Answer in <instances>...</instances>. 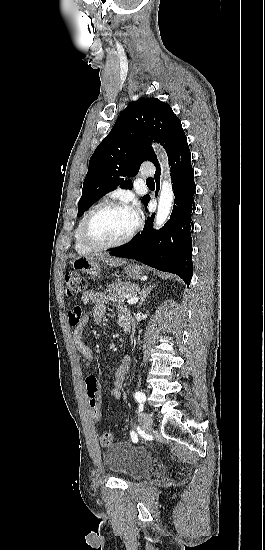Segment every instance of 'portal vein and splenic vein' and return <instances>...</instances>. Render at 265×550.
<instances>
[{
	"label": "portal vein and splenic vein",
	"instance_id": "portal-vein-and-splenic-vein-1",
	"mask_svg": "<svg viewBox=\"0 0 265 550\" xmlns=\"http://www.w3.org/2000/svg\"><path fill=\"white\" fill-rule=\"evenodd\" d=\"M125 297L128 298L127 302H128L129 305L136 304L139 300L138 297H131L129 295H126Z\"/></svg>",
	"mask_w": 265,
	"mask_h": 550
}]
</instances>
